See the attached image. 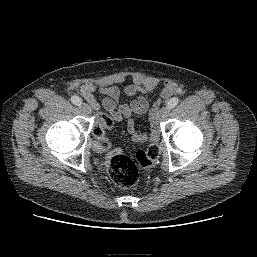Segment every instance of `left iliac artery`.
<instances>
[{"label": "left iliac artery", "instance_id": "left-iliac-artery-1", "mask_svg": "<svg viewBox=\"0 0 257 257\" xmlns=\"http://www.w3.org/2000/svg\"><path fill=\"white\" fill-rule=\"evenodd\" d=\"M178 103H179V99H178L177 97H173V98H171V99L168 101L167 107H168L169 109H172V108H174L175 106H177Z\"/></svg>", "mask_w": 257, "mask_h": 257}]
</instances>
